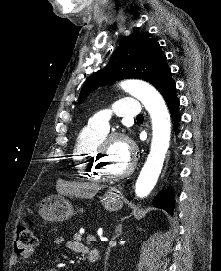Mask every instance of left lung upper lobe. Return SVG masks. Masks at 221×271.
Masks as SVG:
<instances>
[{
    "instance_id": "left-lung-upper-lobe-1",
    "label": "left lung upper lobe",
    "mask_w": 221,
    "mask_h": 271,
    "mask_svg": "<svg viewBox=\"0 0 221 271\" xmlns=\"http://www.w3.org/2000/svg\"><path fill=\"white\" fill-rule=\"evenodd\" d=\"M125 78L143 79L160 92L174 82L165 54L159 43L150 38L149 34L137 33L125 37L108 65L85 81L79 102L97 87Z\"/></svg>"
}]
</instances>
